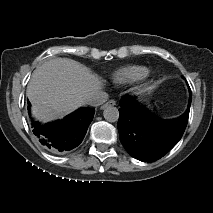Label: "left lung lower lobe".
<instances>
[{
    "instance_id": "left-lung-lower-lobe-1",
    "label": "left lung lower lobe",
    "mask_w": 213,
    "mask_h": 213,
    "mask_svg": "<svg viewBox=\"0 0 213 213\" xmlns=\"http://www.w3.org/2000/svg\"><path fill=\"white\" fill-rule=\"evenodd\" d=\"M186 112L176 120L164 121L140 105L134 97L120 100V141L134 158L146 162L160 159L181 139L189 118L192 94Z\"/></svg>"
}]
</instances>
